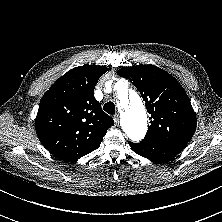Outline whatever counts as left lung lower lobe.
I'll use <instances>...</instances> for the list:
<instances>
[{
  "label": "left lung lower lobe",
  "mask_w": 222,
  "mask_h": 222,
  "mask_svg": "<svg viewBox=\"0 0 222 222\" xmlns=\"http://www.w3.org/2000/svg\"><path fill=\"white\" fill-rule=\"evenodd\" d=\"M129 145L135 153L154 162H163L180 153L187 144L142 141L140 143L129 142Z\"/></svg>",
  "instance_id": "left-lung-lower-lobe-1"
}]
</instances>
